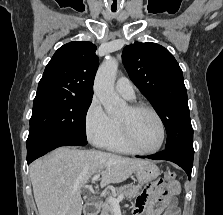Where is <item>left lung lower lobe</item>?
Listing matches in <instances>:
<instances>
[{"label":"left lung lower lobe","instance_id":"1","mask_svg":"<svg viewBox=\"0 0 223 215\" xmlns=\"http://www.w3.org/2000/svg\"><path fill=\"white\" fill-rule=\"evenodd\" d=\"M140 158H149L154 160H167L176 163L184 169L189 180L193 166L194 150L189 149H165L162 152L149 156H137Z\"/></svg>","mask_w":223,"mask_h":215}]
</instances>
